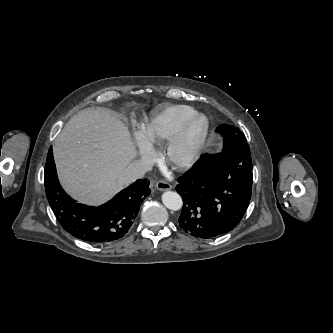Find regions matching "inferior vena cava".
<instances>
[{"instance_id": "602c4592", "label": "inferior vena cava", "mask_w": 333, "mask_h": 333, "mask_svg": "<svg viewBox=\"0 0 333 333\" xmlns=\"http://www.w3.org/2000/svg\"><path fill=\"white\" fill-rule=\"evenodd\" d=\"M149 170V166L143 161L132 162L121 174L120 181L130 183L140 179Z\"/></svg>"}]
</instances>
